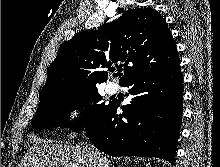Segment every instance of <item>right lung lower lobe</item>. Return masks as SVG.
Returning <instances> with one entry per match:
<instances>
[{"label": "right lung lower lobe", "mask_w": 220, "mask_h": 167, "mask_svg": "<svg viewBox=\"0 0 220 167\" xmlns=\"http://www.w3.org/2000/svg\"><path fill=\"white\" fill-rule=\"evenodd\" d=\"M122 86L132 95L123 113L117 114L118 103L110 102L86 135L108 155L159 157L174 164L183 100L179 63L137 75Z\"/></svg>", "instance_id": "1"}]
</instances>
